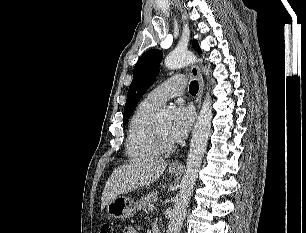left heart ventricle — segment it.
Listing matches in <instances>:
<instances>
[{
    "label": "left heart ventricle",
    "instance_id": "obj_1",
    "mask_svg": "<svg viewBox=\"0 0 306 233\" xmlns=\"http://www.w3.org/2000/svg\"><path fill=\"white\" fill-rule=\"evenodd\" d=\"M159 132L163 135V137L167 140L170 141L169 137H168V132H169V128H170V123L169 122H165V123H158L156 124Z\"/></svg>",
    "mask_w": 306,
    "mask_h": 233
}]
</instances>
